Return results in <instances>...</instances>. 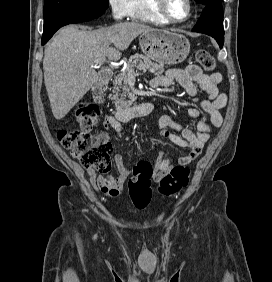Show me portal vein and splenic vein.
<instances>
[{
    "label": "portal vein and splenic vein",
    "instance_id": "18ae733b",
    "mask_svg": "<svg viewBox=\"0 0 272 282\" xmlns=\"http://www.w3.org/2000/svg\"><path fill=\"white\" fill-rule=\"evenodd\" d=\"M105 60H106V58L102 57V58H100L96 61V64H103L105 62ZM134 74H135V72H134L133 69L128 70V75H134Z\"/></svg>",
    "mask_w": 272,
    "mask_h": 282
}]
</instances>
